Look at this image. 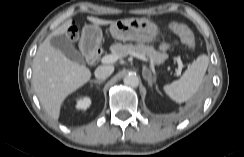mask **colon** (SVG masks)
I'll use <instances>...</instances> for the list:
<instances>
[{
  "instance_id": "5ec220e1",
  "label": "colon",
  "mask_w": 244,
  "mask_h": 157,
  "mask_svg": "<svg viewBox=\"0 0 244 157\" xmlns=\"http://www.w3.org/2000/svg\"><path fill=\"white\" fill-rule=\"evenodd\" d=\"M168 27L174 31L181 40L190 48L195 49L196 47V40L193 32L190 30L188 26L179 22H171L168 24ZM76 37V33L74 29L70 30L68 34V38L70 40H74Z\"/></svg>"
}]
</instances>
